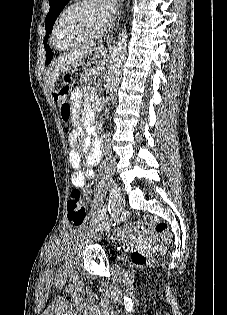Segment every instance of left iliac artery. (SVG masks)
I'll return each instance as SVG.
<instances>
[{"instance_id":"44dca946","label":"left iliac artery","mask_w":227,"mask_h":315,"mask_svg":"<svg viewBox=\"0 0 227 315\" xmlns=\"http://www.w3.org/2000/svg\"><path fill=\"white\" fill-rule=\"evenodd\" d=\"M110 184H111L112 189L110 190L108 201H107L105 207L101 210L100 214L98 215V219H97L96 223H100L106 218L107 210H109V212H110V206L116 199V193L114 191L115 183L111 180Z\"/></svg>"}]
</instances>
